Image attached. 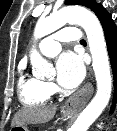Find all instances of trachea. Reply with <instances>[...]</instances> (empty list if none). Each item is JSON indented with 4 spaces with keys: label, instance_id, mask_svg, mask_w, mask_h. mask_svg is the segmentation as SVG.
<instances>
[{
    "label": "trachea",
    "instance_id": "3493384b",
    "mask_svg": "<svg viewBox=\"0 0 117 131\" xmlns=\"http://www.w3.org/2000/svg\"><path fill=\"white\" fill-rule=\"evenodd\" d=\"M80 43H86V41L82 39V40H80Z\"/></svg>",
    "mask_w": 117,
    "mask_h": 131
}]
</instances>
